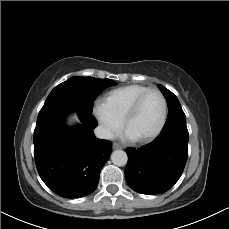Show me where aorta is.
Returning <instances> with one entry per match:
<instances>
[{
    "label": "aorta",
    "instance_id": "obj_1",
    "mask_svg": "<svg viewBox=\"0 0 229 229\" xmlns=\"http://www.w3.org/2000/svg\"><path fill=\"white\" fill-rule=\"evenodd\" d=\"M127 154L122 150H116L111 155V161L114 165L124 166L127 164Z\"/></svg>",
    "mask_w": 229,
    "mask_h": 229
}]
</instances>
